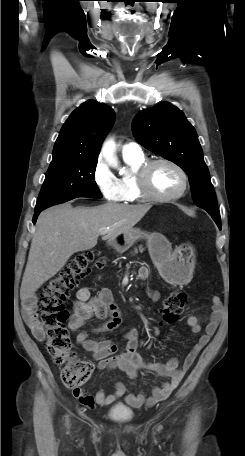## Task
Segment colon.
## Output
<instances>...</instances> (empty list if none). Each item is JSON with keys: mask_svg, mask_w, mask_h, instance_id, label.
I'll list each match as a JSON object with an SVG mask.
<instances>
[{"mask_svg": "<svg viewBox=\"0 0 245 456\" xmlns=\"http://www.w3.org/2000/svg\"><path fill=\"white\" fill-rule=\"evenodd\" d=\"M96 253L87 251L76 255L51 280L44 285L40 295L39 309L46 331V347L53 361L62 366L61 379L70 388L82 386L93 372L90 361L80 359L74 351L65 322L68 311L65 302L70 292L81 279L88 275ZM187 302L186 294L172 289L164 302L162 319L166 323L175 322Z\"/></svg>", "mask_w": 245, "mask_h": 456, "instance_id": "5ec220e1", "label": "colon"}]
</instances>
